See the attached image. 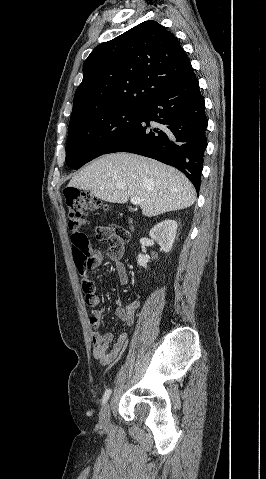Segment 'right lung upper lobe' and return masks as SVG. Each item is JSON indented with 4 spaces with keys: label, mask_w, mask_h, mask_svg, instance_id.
<instances>
[{
    "label": "right lung upper lobe",
    "mask_w": 266,
    "mask_h": 479,
    "mask_svg": "<svg viewBox=\"0 0 266 479\" xmlns=\"http://www.w3.org/2000/svg\"><path fill=\"white\" fill-rule=\"evenodd\" d=\"M193 74L177 38L156 21L142 22L90 53L70 121L143 107L161 90Z\"/></svg>",
    "instance_id": "cb5924a9"
}]
</instances>
